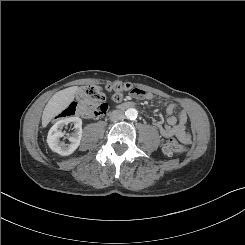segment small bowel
Masks as SVG:
<instances>
[{
    "instance_id": "c3829d8e",
    "label": "small bowel",
    "mask_w": 245,
    "mask_h": 245,
    "mask_svg": "<svg viewBox=\"0 0 245 245\" xmlns=\"http://www.w3.org/2000/svg\"><path fill=\"white\" fill-rule=\"evenodd\" d=\"M135 99L140 100H150L152 99V94L145 92L143 90L137 89L136 92L132 93ZM178 108V104L172 103L166 108L167 121L165 124L154 123L155 127L159 130L160 134L169 138L172 136L178 137L183 142L190 141V133L187 129V113L182 110L179 112L178 116L174 115L175 109Z\"/></svg>"
}]
</instances>
